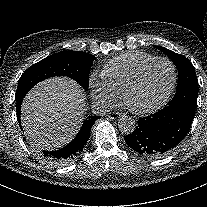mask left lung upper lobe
I'll list each match as a JSON object with an SVG mask.
<instances>
[{
  "instance_id": "5c2ea615",
  "label": "left lung upper lobe",
  "mask_w": 207,
  "mask_h": 207,
  "mask_svg": "<svg viewBox=\"0 0 207 207\" xmlns=\"http://www.w3.org/2000/svg\"><path fill=\"white\" fill-rule=\"evenodd\" d=\"M166 54L176 65L178 70V84L173 99L169 105H185L195 110L198 96V81L194 66L185 56L177 54L161 46H155Z\"/></svg>"
}]
</instances>
